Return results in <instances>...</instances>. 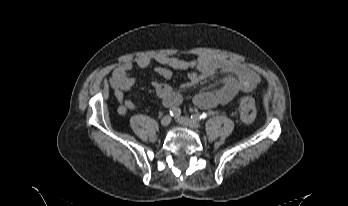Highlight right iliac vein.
Listing matches in <instances>:
<instances>
[{"mask_svg": "<svg viewBox=\"0 0 348 206\" xmlns=\"http://www.w3.org/2000/svg\"><path fill=\"white\" fill-rule=\"evenodd\" d=\"M170 123H171V117H170L169 115L164 116V117L161 119V125H162L163 127H167Z\"/></svg>", "mask_w": 348, "mask_h": 206, "instance_id": "63e3f726", "label": "right iliac vein"}]
</instances>
